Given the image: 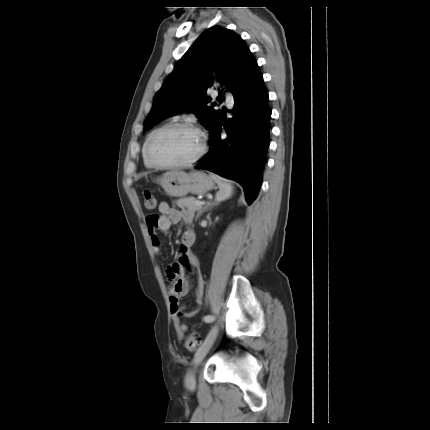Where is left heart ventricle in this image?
Here are the masks:
<instances>
[{
  "mask_svg": "<svg viewBox=\"0 0 430 430\" xmlns=\"http://www.w3.org/2000/svg\"><path fill=\"white\" fill-rule=\"evenodd\" d=\"M201 146V138L195 131L176 128L157 137L151 153L160 163H177L194 157Z\"/></svg>",
  "mask_w": 430,
  "mask_h": 430,
  "instance_id": "1",
  "label": "left heart ventricle"
}]
</instances>
